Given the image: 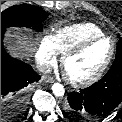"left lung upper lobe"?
<instances>
[{"mask_svg": "<svg viewBox=\"0 0 122 122\" xmlns=\"http://www.w3.org/2000/svg\"><path fill=\"white\" fill-rule=\"evenodd\" d=\"M122 63V39L118 37V43L116 47V56L113 65Z\"/></svg>", "mask_w": 122, "mask_h": 122, "instance_id": "1", "label": "left lung upper lobe"}]
</instances>
